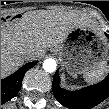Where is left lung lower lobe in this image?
Segmentation results:
<instances>
[{"instance_id":"1","label":"left lung lower lobe","mask_w":109,"mask_h":109,"mask_svg":"<svg viewBox=\"0 0 109 109\" xmlns=\"http://www.w3.org/2000/svg\"><path fill=\"white\" fill-rule=\"evenodd\" d=\"M106 36L109 37V34H106ZM59 83L57 70L53 78V93L58 102L70 109H90L109 96V75L102 82L79 91L62 89Z\"/></svg>"}]
</instances>
